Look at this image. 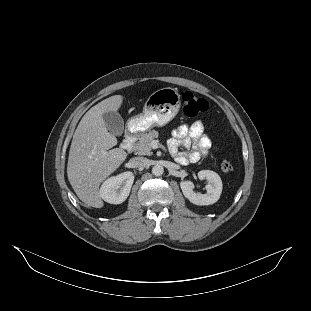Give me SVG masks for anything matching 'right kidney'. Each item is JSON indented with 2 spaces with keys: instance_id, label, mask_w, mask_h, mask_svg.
Wrapping results in <instances>:
<instances>
[{
  "instance_id": "obj_1",
  "label": "right kidney",
  "mask_w": 311,
  "mask_h": 311,
  "mask_svg": "<svg viewBox=\"0 0 311 311\" xmlns=\"http://www.w3.org/2000/svg\"><path fill=\"white\" fill-rule=\"evenodd\" d=\"M134 173L125 171L105 179L99 188L100 198L109 204H121L130 194Z\"/></svg>"
}]
</instances>
